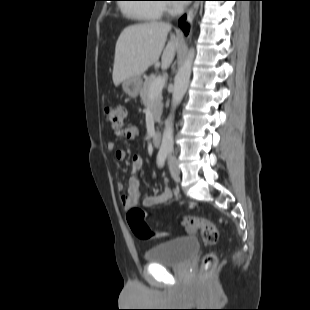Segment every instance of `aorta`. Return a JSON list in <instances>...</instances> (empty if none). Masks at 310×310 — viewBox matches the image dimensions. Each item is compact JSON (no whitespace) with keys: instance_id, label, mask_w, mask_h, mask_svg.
<instances>
[{"instance_id":"1","label":"aorta","mask_w":310,"mask_h":310,"mask_svg":"<svg viewBox=\"0 0 310 310\" xmlns=\"http://www.w3.org/2000/svg\"><path fill=\"white\" fill-rule=\"evenodd\" d=\"M195 56L194 49H190L187 57L182 64V66L178 69V72L175 76L174 80V89L172 94V109L176 108V106L182 101L191 76L193 59ZM173 114H170L169 118L166 121V126L162 136L161 149L170 150L173 148Z\"/></svg>"}]
</instances>
